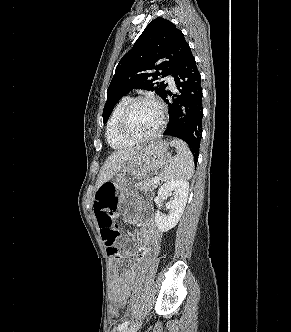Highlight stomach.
<instances>
[{
  "mask_svg": "<svg viewBox=\"0 0 291 332\" xmlns=\"http://www.w3.org/2000/svg\"><path fill=\"white\" fill-rule=\"evenodd\" d=\"M169 145L163 141L152 142L139 150L120 172L112 178V184L118 194V209L125 213L139 202V195L132 191L127 183L129 179H145L151 172L162 168L171 158Z\"/></svg>",
  "mask_w": 291,
  "mask_h": 332,
  "instance_id": "1",
  "label": "stomach"
}]
</instances>
